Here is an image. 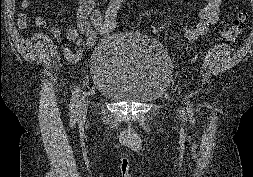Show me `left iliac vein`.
<instances>
[{"label": "left iliac vein", "instance_id": "left-iliac-vein-1", "mask_svg": "<svg viewBox=\"0 0 253 177\" xmlns=\"http://www.w3.org/2000/svg\"><path fill=\"white\" fill-rule=\"evenodd\" d=\"M179 113L181 114V113H182V110H179Z\"/></svg>", "mask_w": 253, "mask_h": 177}]
</instances>
